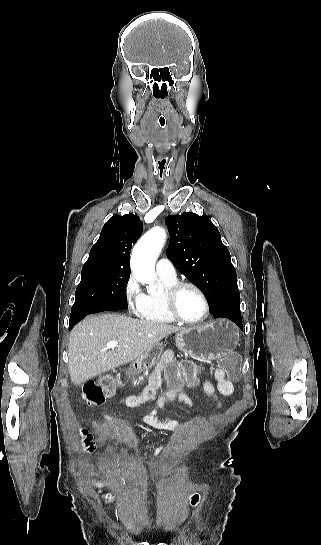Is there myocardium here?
<instances>
[{"label":"myocardium","instance_id":"f54148a6","mask_svg":"<svg viewBox=\"0 0 321 545\" xmlns=\"http://www.w3.org/2000/svg\"><path fill=\"white\" fill-rule=\"evenodd\" d=\"M191 288L195 290L202 299L204 305V313L202 317L196 321H187L180 317L176 309V299L179 293L186 289ZM161 301L163 307L173 322L187 327H198L205 323L210 315V303L207 295L201 287L192 282H176L170 286H163L161 292Z\"/></svg>","mask_w":321,"mask_h":545}]
</instances>
